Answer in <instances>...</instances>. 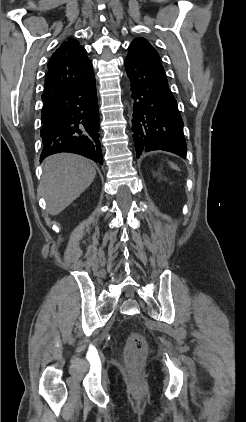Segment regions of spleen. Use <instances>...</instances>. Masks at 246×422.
Here are the masks:
<instances>
[{
	"label": "spleen",
	"mask_w": 246,
	"mask_h": 422,
	"mask_svg": "<svg viewBox=\"0 0 246 422\" xmlns=\"http://www.w3.org/2000/svg\"><path fill=\"white\" fill-rule=\"evenodd\" d=\"M168 163L171 166V168L179 171V168H178V166L176 164H174L173 162H168Z\"/></svg>",
	"instance_id": "obj_1"
}]
</instances>
